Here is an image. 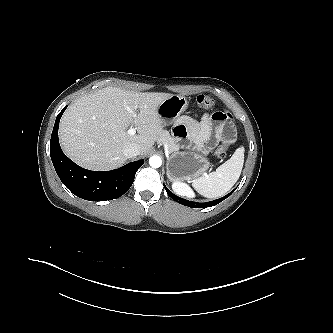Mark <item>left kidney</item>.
<instances>
[{
  "instance_id": "5707ae66",
  "label": "left kidney",
  "mask_w": 333,
  "mask_h": 333,
  "mask_svg": "<svg viewBox=\"0 0 333 333\" xmlns=\"http://www.w3.org/2000/svg\"><path fill=\"white\" fill-rule=\"evenodd\" d=\"M172 189L177 194L182 195V196L194 197V195H195L187 184L181 183V182H178V181H174L172 183Z\"/></svg>"
}]
</instances>
